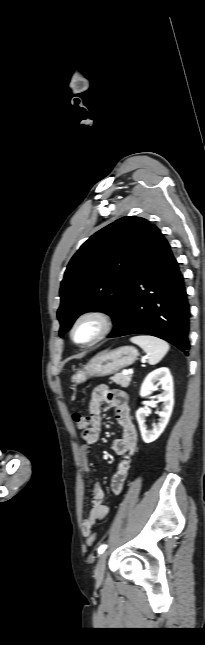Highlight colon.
I'll list each match as a JSON object with an SVG mask.
<instances>
[{
  "label": "colon",
  "instance_id": "obj_1",
  "mask_svg": "<svg viewBox=\"0 0 205 645\" xmlns=\"http://www.w3.org/2000/svg\"><path fill=\"white\" fill-rule=\"evenodd\" d=\"M73 420L77 429L82 433V435L85 434L90 426V415L77 412V413H74ZM95 541H96V534L90 533L87 537V545L89 547H92L94 546Z\"/></svg>",
  "mask_w": 205,
  "mask_h": 645
}]
</instances>
